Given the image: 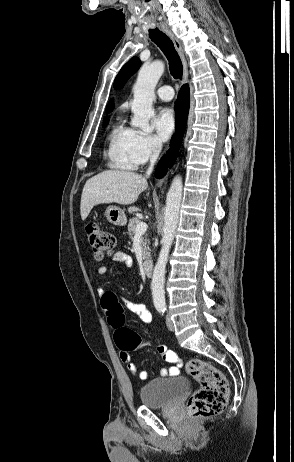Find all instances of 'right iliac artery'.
Returning <instances> with one entry per match:
<instances>
[{
  "instance_id": "obj_1",
  "label": "right iliac artery",
  "mask_w": 294,
  "mask_h": 462,
  "mask_svg": "<svg viewBox=\"0 0 294 462\" xmlns=\"http://www.w3.org/2000/svg\"><path fill=\"white\" fill-rule=\"evenodd\" d=\"M164 311H165V309H159V312L162 313V314L164 313Z\"/></svg>"
}]
</instances>
